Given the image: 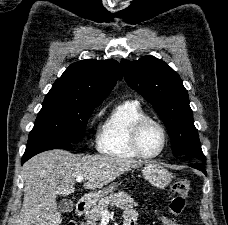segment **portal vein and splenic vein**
Segmentation results:
<instances>
[{
  "label": "portal vein and splenic vein",
  "instance_id": "18ae733b",
  "mask_svg": "<svg viewBox=\"0 0 228 225\" xmlns=\"http://www.w3.org/2000/svg\"><path fill=\"white\" fill-rule=\"evenodd\" d=\"M84 181V177H77L76 183H82ZM103 215H108V211H104Z\"/></svg>",
  "mask_w": 228,
  "mask_h": 225
}]
</instances>
